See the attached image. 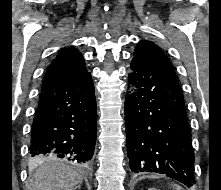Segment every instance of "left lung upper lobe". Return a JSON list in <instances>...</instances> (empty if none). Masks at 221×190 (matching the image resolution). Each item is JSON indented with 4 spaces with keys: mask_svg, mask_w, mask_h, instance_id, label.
Instances as JSON below:
<instances>
[{
    "mask_svg": "<svg viewBox=\"0 0 221 190\" xmlns=\"http://www.w3.org/2000/svg\"><path fill=\"white\" fill-rule=\"evenodd\" d=\"M134 58H138L155 65L178 81L174 68L168 60L167 56L159 48V46L153 42L147 40L140 41L136 46Z\"/></svg>",
    "mask_w": 221,
    "mask_h": 190,
    "instance_id": "left-lung-upper-lobe-1",
    "label": "left lung upper lobe"
}]
</instances>
